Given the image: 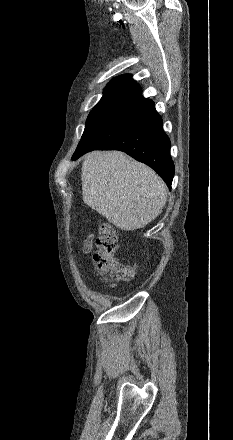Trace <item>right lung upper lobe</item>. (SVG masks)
<instances>
[{"mask_svg": "<svg viewBox=\"0 0 233 440\" xmlns=\"http://www.w3.org/2000/svg\"><path fill=\"white\" fill-rule=\"evenodd\" d=\"M142 96V90L130 75H121L108 83L99 103L126 105Z\"/></svg>", "mask_w": 233, "mask_h": 440, "instance_id": "cb5924a9", "label": "right lung upper lobe"}]
</instances>
